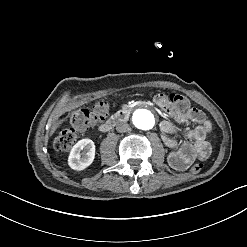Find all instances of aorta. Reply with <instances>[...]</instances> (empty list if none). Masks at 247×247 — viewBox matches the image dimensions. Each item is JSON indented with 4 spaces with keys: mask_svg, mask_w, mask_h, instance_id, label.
Instances as JSON below:
<instances>
[{
    "mask_svg": "<svg viewBox=\"0 0 247 247\" xmlns=\"http://www.w3.org/2000/svg\"><path fill=\"white\" fill-rule=\"evenodd\" d=\"M134 123L138 128L148 130L154 125V117L149 111L140 110L134 115Z\"/></svg>",
    "mask_w": 247,
    "mask_h": 247,
    "instance_id": "aorta-1",
    "label": "aorta"
}]
</instances>
